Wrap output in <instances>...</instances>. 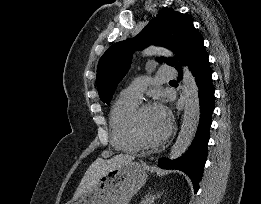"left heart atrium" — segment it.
<instances>
[{"label": "left heart atrium", "instance_id": "1", "mask_svg": "<svg viewBox=\"0 0 261 204\" xmlns=\"http://www.w3.org/2000/svg\"><path fill=\"white\" fill-rule=\"evenodd\" d=\"M158 108L161 111V113L167 118V114H166L165 110L162 109L161 107H158Z\"/></svg>", "mask_w": 261, "mask_h": 204}]
</instances>
